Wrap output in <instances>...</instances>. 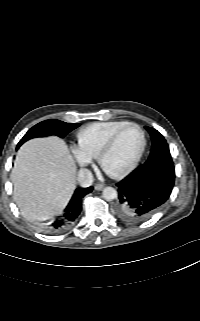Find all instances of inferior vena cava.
<instances>
[{"instance_id":"1","label":"inferior vena cava","mask_w":200,"mask_h":321,"mask_svg":"<svg viewBox=\"0 0 200 321\" xmlns=\"http://www.w3.org/2000/svg\"><path fill=\"white\" fill-rule=\"evenodd\" d=\"M77 182L82 187H89L93 183V175L90 170L81 168L78 172Z\"/></svg>"}]
</instances>
